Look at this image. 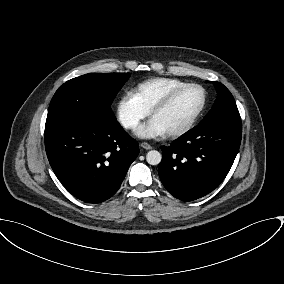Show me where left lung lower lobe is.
<instances>
[{
    "label": "left lung lower lobe",
    "mask_w": 284,
    "mask_h": 284,
    "mask_svg": "<svg viewBox=\"0 0 284 284\" xmlns=\"http://www.w3.org/2000/svg\"><path fill=\"white\" fill-rule=\"evenodd\" d=\"M241 135V120L221 119L199 124L170 146H162L158 174L164 187L183 201L212 192L228 174Z\"/></svg>",
    "instance_id": "left-lung-lower-lobe-1"
}]
</instances>
